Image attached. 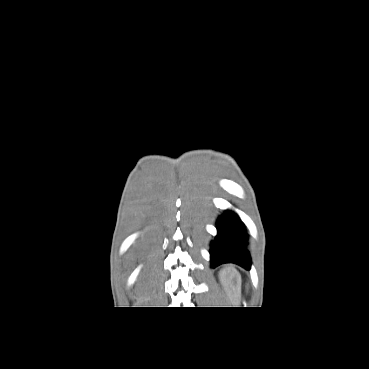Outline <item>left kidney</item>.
Returning a JSON list of instances; mask_svg holds the SVG:
<instances>
[{"label": "left kidney", "mask_w": 369, "mask_h": 369, "mask_svg": "<svg viewBox=\"0 0 369 369\" xmlns=\"http://www.w3.org/2000/svg\"><path fill=\"white\" fill-rule=\"evenodd\" d=\"M220 282L224 289L237 290L239 283V273L235 269L226 268L219 272Z\"/></svg>", "instance_id": "5707ae66"}]
</instances>
